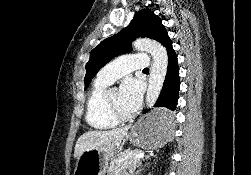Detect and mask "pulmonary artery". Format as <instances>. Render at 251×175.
<instances>
[{
	"mask_svg": "<svg viewBox=\"0 0 251 175\" xmlns=\"http://www.w3.org/2000/svg\"><path fill=\"white\" fill-rule=\"evenodd\" d=\"M148 63L150 58L147 52H127V55L114 58V62H107V67L98 73L97 79L111 84L121 76H129L131 70L142 71V67H147Z\"/></svg>",
	"mask_w": 251,
	"mask_h": 175,
	"instance_id": "e3ab8cb5",
	"label": "pulmonary artery"
}]
</instances>
